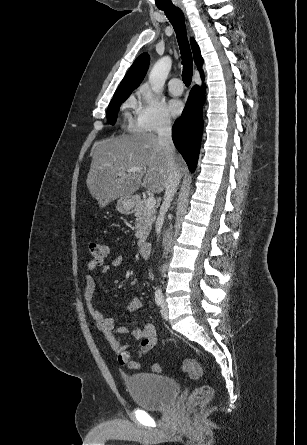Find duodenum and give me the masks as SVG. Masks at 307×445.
<instances>
[{"label":"duodenum","instance_id":"obj_1","mask_svg":"<svg viewBox=\"0 0 307 445\" xmlns=\"http://www.w3.org/2000/svg\"><path fill=\"white\" fill-rule=\"evenodd\" d=\"M151 248H152V246L149 242L141 243L139 246V249H138L139 254L142 257L147 258L151 253Z\"/></svg>","mask_w":307,"mask_h":445}]
</instances>
